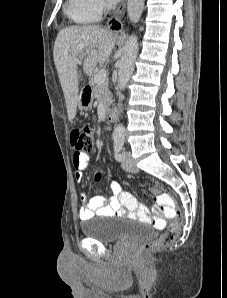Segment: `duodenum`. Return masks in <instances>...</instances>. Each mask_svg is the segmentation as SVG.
Listing matches in <instances>:
<instances>
[{
    "instance_id": "duodenum-1",
    "label": "duodenum",
    "mask_w": 227,
    "mask_h": 298,
    "mask_svg": "<svg viewBox=\"0 0 227 298\" xmlns=\"http://www.w3.org/2000/svg\"><path fill=\"white\" fill-rule=\"evenodd\" d=\"M84 92L86 95L90 96L92 89L90 86L85 87ZM117 118V110L115 108H110L106 114V120L109 124H113Z\"/></svg>"
}]
</instances>
